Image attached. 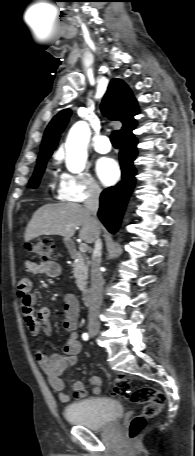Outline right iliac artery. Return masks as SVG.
<instances>
[{
	"instance_id": "1",
	"label": "right iliac artery",
	"mask_w": 195,
	"mask_h": 456,
	"mask_svg": "<svg viewBox=\"0 0 195 456\" xmlns=\"http://www.w3.org/2000/svg\"><path fill=\"white\" fill-rule=\"evenodd\" d=\"M82 338H83V340L87 341L89 339L88 333H83Z\"/></svg>"
}]
</instances>
